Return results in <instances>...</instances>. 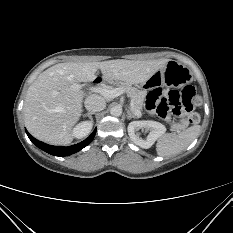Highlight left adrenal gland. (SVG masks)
<instances>
[{"label": "left adrenal gland", "instance_id": "obj_1", "mask_svg": "<svg viewBox=\"0 0 233 233\" xmlns=\"http://www.w3.org/2000/svg\"><path fill=\"white\" fill-rule=\"evenodd\" d=\"M131 118L136 119L138 117L136 115L132 114V112L128 110L127 111V119H131Z\"/></svg>", "mask_w": 233, "mask_h": 233}]
</instances>
